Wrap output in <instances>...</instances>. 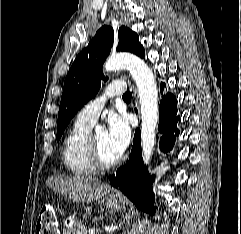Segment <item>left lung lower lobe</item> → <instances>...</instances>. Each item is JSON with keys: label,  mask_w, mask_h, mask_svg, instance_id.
Instances as JSON below:
<instances>
[{"label": "left lung lower lobe", "mask_w": 241, "mask_h": 234, "mask_svg": "<svg viewBox=\"0 0 241 234\" xmlns=\"http://www.w3.org/2000/svg\"><path fill=\"white\" fill-rule=\"evenodd\" d=\"M165 84L161 83V92ZM137 112V111H136ZM159 131L164 132L160 147L164 152L172 149L175 143L177 121V100L168 93L162 96L160 102ZM112 186L119 188L138 208L153 215L154 194L152 193V180L142 163L141 133L137 129L134 135L131 155L126 165L119 168L115 175L109 177Z\"/></svg>", "instance_id": "left-lung-lower-lobe-1"}]
</instances>
